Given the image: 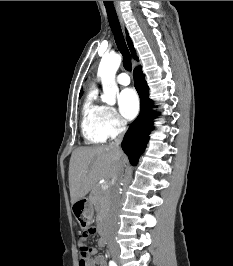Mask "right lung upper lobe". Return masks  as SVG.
Instances as JSON below:
<instances>
[{"label":"right lung upper lobe","mask_w":233,"mask_h":266,"mask_svg":"<svg viewBox=\"0 0 233 266\" xmlns=\"http://www.w3.org/2000/svg\"><path fill=\"white\" fill-rule=\"evenodd\" d=\"M127 42H128V46H129V49L132 53V56L138 60V58L136 57V53H135V50H134V47H133V44H132V41L131 39L129 38L128 34H127ZM80 96H82V91L80 92Z\"/></svg>","instance_id":"obj_1"}]
</instances>
